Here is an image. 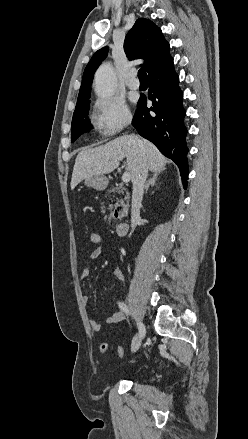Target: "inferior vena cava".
<instances>
[{
  "instance_id": "obj_1",
  "label": "inferior vena cava",
  "mask_w": 248,
  "mask_h": 439,
  "mask_svg": "<svg viewBox=\"0 0 248 439\" xmlns=\"http://www.w3.org/2000/svg\"><path fill=\"white\" fill-rule=\"evenodd\" d=\"M148 175V166L145 160H143L132 179L133 191H132V207H131V227L135 228L140 218V208L144 193L145 181Z\"/></svg>"
}]
</instances>
